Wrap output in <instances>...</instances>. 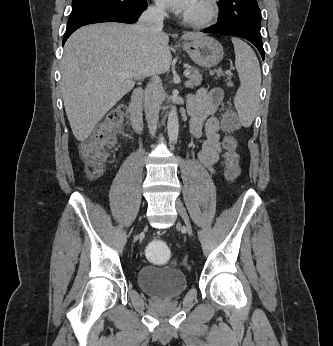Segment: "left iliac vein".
Returning <instances> with one entry per match:
<instances>
[{"label": "left iliac vein", "instance_id": "left-iliac-vein-1", "mask_svg": "<svg viewBox=\"0 0 333 346\" xmlns=\"http://www.w3.org/2000/svg\"><path fill=\"white\" fill-rule=\"evenodd\" d=\"M175 207H176L178 214L181 216V218L183 219V221L185 223V227H186L187 232L189 234H192V227H191L189 216L187 214L186 208L184 207V205L182 204V202L179 199H177L175 201Z\"/></svg>", "mask_w": 333, "mask_h": 346}]
</instances>
